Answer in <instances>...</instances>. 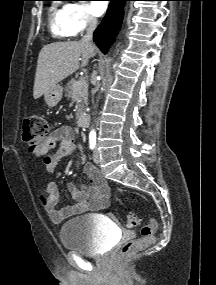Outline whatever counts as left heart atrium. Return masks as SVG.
Returning <instances> with one entry per match:
<instances>
[{
	"label": "left heart atrium",
	"mask_w": 216,
	"mask_h": 285,
	"mask_svg": "<svg viewBox=\"0 0 216 285\" xmlns=\"http://www.w3.org/2000/svg\"><path fill=\"white\" fill-rule=\"evenodd\" d=\"M107 7V1H94L92 3V10L96 16H101L106 11Z\"/></svg>",
	"instance_id": "1"
}]
</instances>
